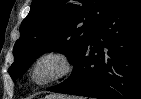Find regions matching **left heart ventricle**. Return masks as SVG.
Listing matches in <instances>:
<instances>
[{
	"label": "left heart ventricle",
	"instance_id": "left-heart-ventricle-1",
	"mask_svg": "<svg viewBox=\"0 0 141 99\" xmlns=\"http://www.w3.org/2000/svg\"><path fill=\"white\" fill-rule=\"evenodd\" d=\"M61 70V64L54 59L43 61L35 71V79L44 81L56 75Z\"/></svg>",
	"mask_w": 141,
	"mask_h": 99
}]
</instances>
